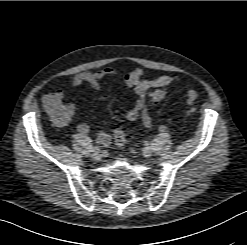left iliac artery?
I'll use <instances>...</instances> for the list:
<instances>
[{"instance_id": "left-iliac-artery-1", "label": "left iliac artery", "mask_w": 247, "mask_h": 245, "mask_svg": "<svg viewBox=\"0 0 247 245\" xmlns=\"http://www.w3.org/2000/svg\"><path fill=\"white\" fill-rule=\"evenodd\" d=\"M166 129H167V127L164 126V125H161V126L159 127V130L162 131V132L165 131Z\"/></svg>"}]
</instances>
